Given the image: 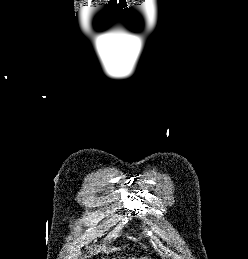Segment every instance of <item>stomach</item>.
I'll return each mask as SVG.
<instances>
[{
	"instance_id": "0dacf381",
	"label": "stomach",
	"mask_w": 248,
	"mask_h": 259,
	"mask_svg": "<svg viewBox=\"0 0 248 259\" xmlns=\"http://www.w3.org/2000/svg\"><path fill=\"white\" fill-rule=\"evenodd\" d=\"M143 259H151V258H148V257H144Z\"/></svg>"
}]
</instances>
